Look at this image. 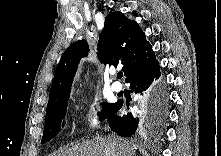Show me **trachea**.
Wrapping results in <instances>:
<instances>
[{
    "mask_svg": "<svg viewBox=\"0 0 221 156\" xmlns=\"http://www.w3.org/2000/svg\"><path fill=\"white\" fill-rule=\"evenodd\" d=\"M122 76H123V73L122 72H118L117 77L118 78H122Z\"/></svg>",
    "mask_w": 221,
    "mask_h": 156,
    "instance_id": "obj_1",
    "label": "trachea"
}]
</instances>
